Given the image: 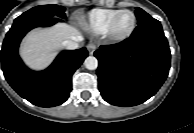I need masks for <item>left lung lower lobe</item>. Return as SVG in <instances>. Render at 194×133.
<instances>
[{"instance_id": "left-lung-lower-lobe-1", "label": "left lung lower lobe", "mask_w": 194, "mask_h": 133, "mask_svg": "<svg viewBox=\"0 0 194 133\" xmlns=\"http://www.w3.org/2000/svg\"><path fill=\"white\" fill-rule=\"evenodd\" d=\"M94 55L99 60L101 95L115 106L130 107L148 100L164 83L170 68L168 42L154 18L139 23L124 41L100 46Z\"/></svg>"}]
</instances>
